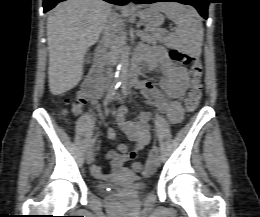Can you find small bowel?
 <instances>
[{
    "label": "small bowel",
    "mask_w": 260,
    "mask_h": 217,
    "mask_svg": "<svg viewBox=\"0 0 260 217\" xmlns=\"http://www.w3.org/2000/svg\"><path fill=\"white\" fill-rule=\"evenodd\" d=\"M144 62L150 71L160 74V79L155 81L152 78H139L135 84V90L143 95L146 101L154 106L158 112L164 113L171 123H179L182 119V105L186 100L189 88L187 70L173 64L166 52L160 48L149 50L144 56ZM136 63L141 68V63ZM99 97L100 93L92 95L79 93L72 107L73 113L80 115L87 99L99 107ZM126 113L127 109L120 107L116 112V120L129 139L134 141V145L129 151L128 147L121 143L117 146L116 151L107 154L111 172L123 168L128 160L135 158L150 142L149 124L152 113L142 112L136 119H127ZM107 130L108 137L111 140L115 139L114 130L110 127H107ZM92 172L98 179H105L107 176L96 164L93 165Z\"/></svg>",
    "instance_id": "small-bowel-1"
}]
</instances>
